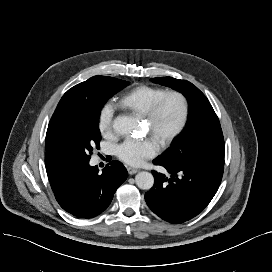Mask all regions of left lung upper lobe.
<instances>
[{
    "label": "left lung upper lobe",
    "mask_w": 272,
    "mask_h": 272,
    "mask_svg": "<svg viewBox=\"0 0 272 272\" xmlns=\"http://www.w3.org/2000/svg\"><path fill=\"white\" fill-rule=\"evenodd\" d=\"M172 87L189 102V120L183 133L157 159L169 163L191 160H224V138L219 119L206 96L192 83L171 77L152 78Z\"/></svg>",
    "instance_id": "1"
}]
</instances>
